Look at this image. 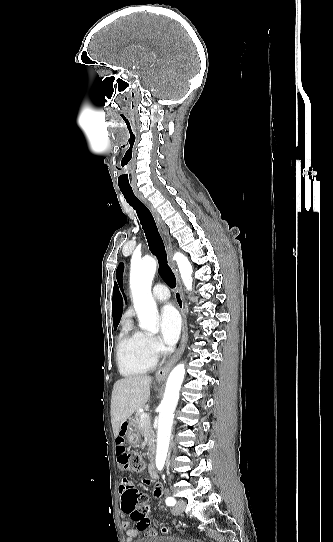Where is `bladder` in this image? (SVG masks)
Listing matches in <instances>:
<instances>
[{"label": "bladder", "instance_id": "31cf9c89", "mask_svg": "<svg viewBox=\"0 0 333 542\" xmlns=\"http://www.w3.org/2000/svg\"><path fill=\"white\" fill-rule=\"evenodd\" d=\"M145 540H140L139 542H193L187 538L171 536V535H149Z\"/></svg>", "mask_w": 333, "mask_h": 542}]
</instances>
